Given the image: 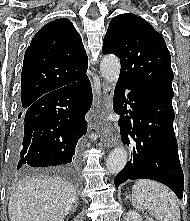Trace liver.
Wrapping results in <instances>:
<instances>
[{"mask_svg":"<svg viewBox=\"0 0 190 221\" xmlns=\"http://www.w3.org/2000/svg\"><path fill=\"white\" fill-rule=\"evenodd\" d=\"M77 198L76 188L59 177L26 178L13 190L10 221H63Z\"/></svg>","mask_w":190,"mask_h":221,"instance_id":"6515ba94","label":"liver"}]
</instances>
